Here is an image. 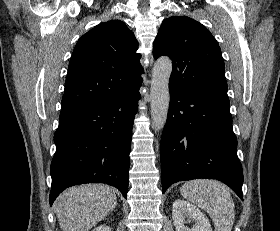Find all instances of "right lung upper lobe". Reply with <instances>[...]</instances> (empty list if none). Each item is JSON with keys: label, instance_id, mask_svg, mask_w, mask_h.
<instances>
[{"label": "right lung upper lobe", "instance_id": "1", "mask_svg": "<svg viewBox=\"0 0 280 231\" xmlns=\"http://www.w3.org/2000/svg\"><path fill=\"white\" fill-rule=\"evenodd\" d=\"M138 42L120 20L101 23L77 42L68 67L61 113L124 96L142 83Z\"/></svg>", "mask_w": 280, "mask_h": 231}]
</instances>
